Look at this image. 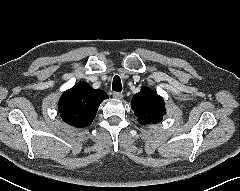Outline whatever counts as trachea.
Here are the masks:
<instances>
[{
  "mask_svg": "<svg viewBox=\"0 0 240 191\" xmlns=\"http://www.w3.org/2000/svg\"><path fill=\"white\" fill-rule=\"evenodd\" d=\"M112 89L116 92L122 91V83H121V79L118 75L114 76V78H113Z\"/></svg>",
  "mask_w": 240,
  "mask_h": 191,
  "instance_id": "3493384b",
  "label": "trachea"
}]
</instances>
